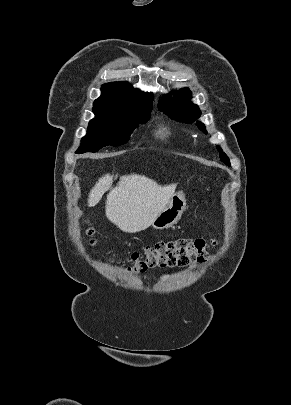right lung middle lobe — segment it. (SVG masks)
<instances>
[{"label": "right lung middle lobe", "instance_id": "right-lung-middle-lobe-1", "mask_svg": "<svg viewBox=\"0 0 291 405\" xmlns=\"http://www.w3.org/2000/svg\"><path fill=\"white\" fill-rule=\"evenodd\" d=\"M151 109L130 112L93 110L95 118L89 122L87 134L76 153L96 152L105 146L125 144L138 124L149 119Z\"/></svg>", "mask_w": 291, "mask_h": 405}]
</instances>
